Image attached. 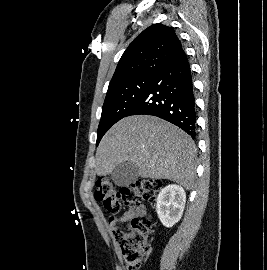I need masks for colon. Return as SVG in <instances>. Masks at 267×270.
Here are the masks:
<instances>
[{
	"mask_svg": "<svg viewBox=\"0 0 267 270\" xmlns=\"http://www.w3.org/2000/svg\"><path fill=\"white\" fill-rule=\"evenodd\" d=\"M160 189L161 182L155 179H140L131 185L117 187L108 178L101 177L96 181L94 196L110 214L115 215L125 206L154 202ZM151 228V218L142 216L133 219L126 230L115 234L125 270H139L150 250Z\"/></svg>",
	"mask_w": 267,
	"mask_h": 270,
	"instance_id": "1",
	"label": "colon"
}]
</instances>
